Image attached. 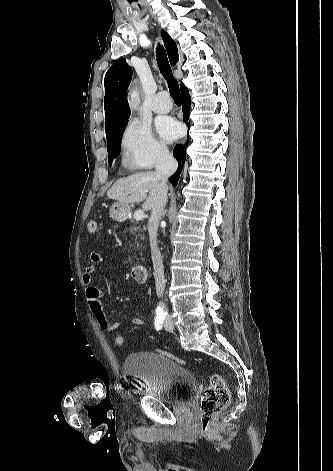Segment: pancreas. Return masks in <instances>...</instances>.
I'll use <instances>...</instances> for the list:
<instances>
[{"instance_id":"cf45deb5","label":"pancreas","mask_w":333,"mask_h":471,"mask_svg":"<svg viewBox=\"0 0 333 471\" xmlns=\"http://www.w3.org/2000/svg\"><path fill=\"white\" fill-rule=\"evenodd\" d=\"M131 223H133V225H131L129 228H127V229L125 230V232L128 231V232H130V234L135 235L134 241H135V244H136L137 239H138V236H139L141 239H143L142 234H143L145 228H144V227H141L140 225H139V226L136 225V224H137V221L131 220Z\"/></svg>"}]
</instances>
